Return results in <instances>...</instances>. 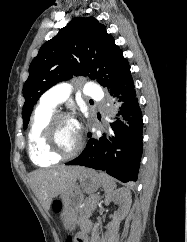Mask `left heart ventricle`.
Instances as JSON below:
<instances>
[{
  "label": "left heart ventricle",
  "mask_w": 187,
  "mask_h": 242,
  "mask_svg": "<svg viewBox=\"0 0 187 242\" xmlns=\"http://www.w3.org/2000/svg\"><path fill=\"white\" fill-rule=\"evenodd\" d=\"M78 142V130L76 125L68 120L60 121L54 131V145L62 152H69L75 148Z\"/></svg>",
  "instance_id": "obj_1"
}]
</instances>
